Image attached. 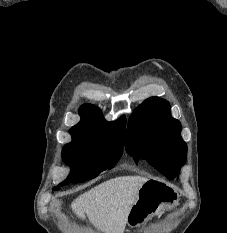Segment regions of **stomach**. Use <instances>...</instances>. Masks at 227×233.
<instances>
[{
  "label": "stomach",
  "instance_id": "obj_1",
  "mask_svg": "<svg viewBox=\"0 0 227 233\" xmlns=\"http://www.w3.org/2000/svg\"><path fill=\"white\" fill-rule=\"evenodd\" d=\"M177 196L169 184L148 180L138 191V199L129 212L127 224L130 227L142 225L164 207L175 206Z\"/></svg>",
  "mask_w": 227,
  "mask_h": 233
}]
</instances>
